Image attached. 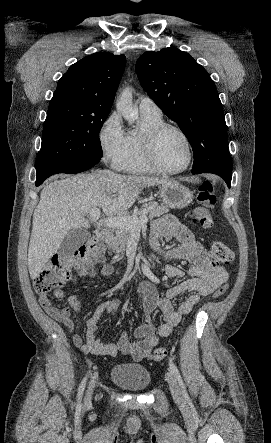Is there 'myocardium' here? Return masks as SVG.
Instances as JSON below:
<instances>
[{
    "mask_svg": "<svg viewBox=\"0 0 271 443\" xmlns=\"http://www.w3.org/2000/svg\"><path fill=\"white\" fill-rule=\"evenodd\" d=\"M167 130H174V131L178 132L183 137V139L185 140V142L187 144L188 152H189L188 161L184 166H182L180 168H175V169L168 168L159 159L158 150H157L158 142H159L160 137ZM144 149H145V155H146L147 161L150 163V165L155 170H157L161 173L177 174V173L184 172L192 165L193 160H194V147H193L192 141H191L190 137L188 136V134L181 127H179L175 124L167 123V122L157 124V125L153 126L147 132V134L145 136V140H144Z\"/></svg>",
    "mask_w": 271,
    "mask_h": 443,
    "instance_id": "f54148a6",
    "label": "myocardium"
}]
</instances>
